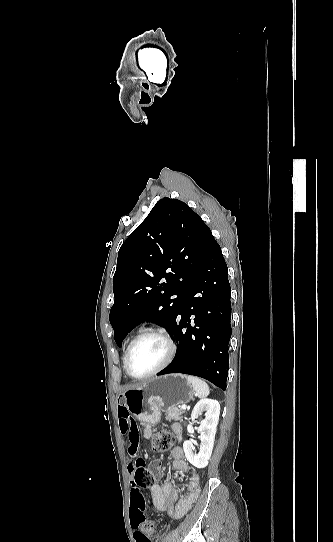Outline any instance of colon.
<instances>
[{
  "instance_id": "1",
  "label": "colon",
  "mask_w": 333,
  "mask_h": 542,
  "mask_svg": "<svg viewBox=\"0 0 333 542\" xmlns=\"http://www.w3.org/2000/svg\"><path fill=\"white\" fill-rule=\"evenodd\" d=\"M175 436L173 433L165 430H159L154 433L152 448L155 452L167 451L173 447ZM130 467L134 469L131 475L137 483H130L128 491L133 495L135 505L130 507L131 523L135 525H143V531L137 534L138 542H149V535L154 531V525L148 521L146 509L149 503L144 500V494L149 493V486L155 484V474L145 468V461L140 458H132Z\"/></svg>"
}]
</instances>
